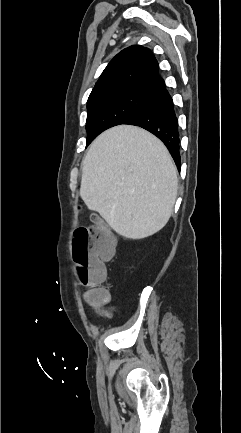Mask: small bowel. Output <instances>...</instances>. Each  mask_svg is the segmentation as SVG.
Returning a JSON list of instances; mask_svg holds the SVG:
<instances>
[{"mask_svg": "<svg viewBox=\"0 0 241 433\" xmlns=\"http://www.w3.org/2000/svg\"><path fill=\"white\" fill-rule=\"evenodd\" d=\"M109 302V297L101 300L96 306L95 309L98 311V313L102 316L110 318L112 316V313L114 309L112 307H106Z\"/></svg>", "mask_w": 241, "mask_h": 433, "instance_id": "1", "label": "small bowel"}]
</instances>
